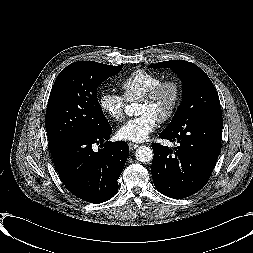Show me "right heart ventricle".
<instances>
[{
  "label": "right heart ventricle",
  "mask_w": 253,
  "mask_h": 253,
  "mask_svg": "<svg viewBox=\"0 0 253 253\" xmlns=\"http://www.w3.org/2000/svg\"><path fill=\"white\" fill-rule=\"evenodd\" d=\"M163 80V76L138 69L129 74L120 83L126 101H136L144 96L152 87Z\"/></svg>",
  "instance_id": "obj_1"
}]
</instances>
